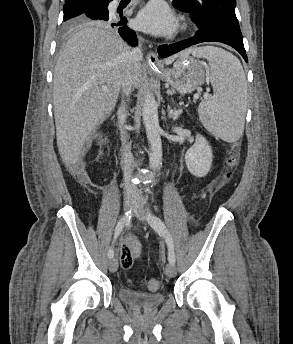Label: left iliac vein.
Returning <instances> with one entry per match:
<instances>
[{"label": "left iliac vein", "instance_id": "left-iliac-vein-1", "mask_svg": "<svg viewBox=\"0 0 293 344\" xmlns=\"http://www.w3.org/2000/svg\"><path fill=\"white\" fill-rule=\"evenodd\" d=\"M134 215L141 221L146 220V212L141 203H138L134 209ZM165 273L168 277L173 278L177 274V270L174 264L169 263L165 267Z\"/></svg>", "mask_w": 293, "mask_h": 344}]
</instances>
